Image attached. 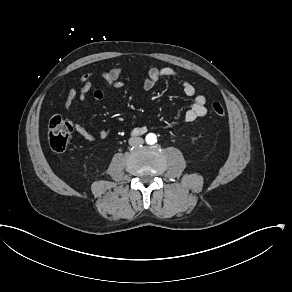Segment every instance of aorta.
Here are the masks:
<instances>
[{
	"label": "aorta",
	"instance_id": "obj_1",
	"mask_svg": "<svg viewBox=\"0 0 292 292\" xmlns=\"http://www.w3.org/2000/svg\"><path fill=\"white\" fill-rule=\"evenodd\" d=\"M157 138H156V135L153 134V133H149L147 136H146V142L148 144H154L156 142Z\"/></svg>",
	"mask_w": 292,
	"mask_h": 292
}]
</instances>
